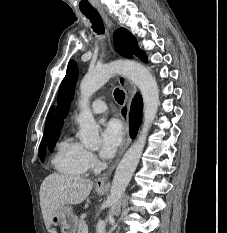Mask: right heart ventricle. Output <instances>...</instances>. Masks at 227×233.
I'll list each match as a JSON object with an SVG mask.
<instances>
[{"label": "right heart ventricle", "mask_w": 227, "mask_h": 233, "mask_svg": "<svg viewBox=\"0 0 227 233\" xmlns=\"http://www.w3.org/2000/svg\"><path fill=\"white\" fill-rule=\"evenodd\" d=\"M86 152L81 143L67 136L58 143L52 164L64 175L82 177L89 169Z\"/></svg>", "instance_id": "obj_1"}]
</instances>
